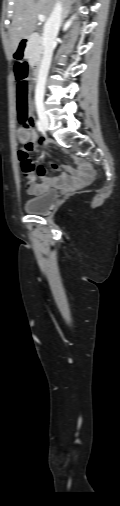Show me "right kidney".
<instances>
[{"label": "right kidney", "mask_w": 120, "mask_h": 506, "mask_svg": "<svg viewBox=\"0 0 120 506\" xmlns=\"http://www.w3.org/2000/svg\"><path fill=\"white\" fill-rule=\"evenodd\" d=\"M72 19H70L69 21L66 22V24L64 25V30H67V28L70 26Z\"/></svg>", "instance_id": "obj_1"}]
</instances>
